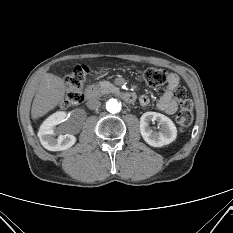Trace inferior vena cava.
Listing matches in <instances>:
<instances>
[{"label":"inferior vena cava","instance_id":"obj_1","mask_svg":"<svg viewBox=\"0 0 233 233\" xmlns=\"http://www.w3.org/2000/svg\"><path fill=\"white\" fill-rule=\"evenodd\" d=\"M86 104L87 107L91 110H97L101 106V102L96 98L89 99Z\"/></svg>","mask_w":233,"mask_h":233}]
</instances>
